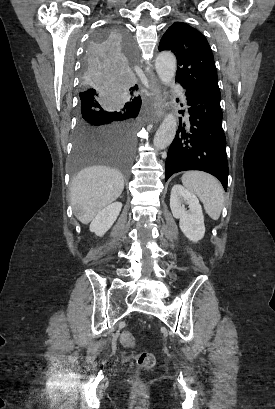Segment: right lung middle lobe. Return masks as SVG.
Segmentation results:
<instances>
[{
    "label": "right lung middle lobe",
    "instance_id": "dd1d6c3e",
    "mask_svg": "<svg viewBox=\"0 0 275 409\" xmlns=\"http://www.w3.org/2000/svg\"><path fill=\"white\" fill-rule=\"evenodd\" d=\"M136 45L123 24H105L87 45L82 57L83 79L79 93L77 125L70 157L71 177L82 167L115 165L130 178V164L137 149L138 116L141 103H127L118 92L129 85Z\"/></svg>",
    "mask_w": 275,
    "mask_h": 409
}]
</instances>
